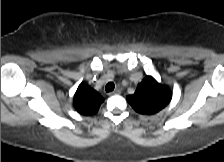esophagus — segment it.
Here are the masks:
<instances>
[{
	"mask_svg": "<svg viewBox=\"0 0 224 162\" xmlns=\"http://www.w3.org/2000/svg\"><path fill=\"white\" fill-rule=\"evenodd\" d=\"M121 93V89L117 88L114 91L110 92L108 95H116V94H120Z\"/></svg>",
	"mask_w": 224,
	"mask_h": 162,
	"instance_id": "34e87169",
	"label": "esophagus"
}]
</instances>
